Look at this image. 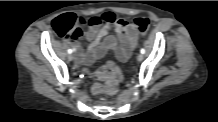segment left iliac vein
Masks as SVG:
<instances>
[{
	"mask_svg": "<svg viewBox=\"0 0 218 122\" xmlns=\"http://www.w3.org/2000/svg\"><path fill=\"white\" fill-rule=\"evenodd\" d=\"M137 60L138 61H142L143 60V54L142 53L138 54Z\"/></svg>",
	"mask_w": 218,
	"mask_h": 122,
	"instance_id": "obj_1",
	"label": "left iliac vein"
}]
</instances>
